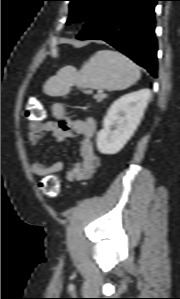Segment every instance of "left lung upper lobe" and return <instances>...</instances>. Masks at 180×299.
I'll use <instances>...</instances> for the list:
<instances>
[{
    "label": "left lung upper lobe",
    "instance_id": "left-lung-upper-lobe-1",
    "mask_svg": "<svg viewBox=\"0 0 180 299\" xmlns=\"http://www.w3.org/2000/svg\"><path fill=\"white\" fill-rule=\"evenodd\" d=\"M69 18L67 24L87 20L91 11L100 0H69Z\"/></svg>",
    "mask_w": 180,
    "mask_h": 299
}]
</instances>
